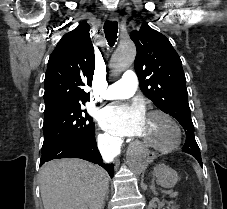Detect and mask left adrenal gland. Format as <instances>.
Instances as JSON below:
<instances>
[{
  "label": "left adrenal gland",
  "mask_w": 227,
  "mask_h": 209,
  "mask_svg": "<svg viewBox=\"0 0 227 209\" xmlns=\"http://www.w3.org/2000/svg\"><path fill=\"white\" fill-rule=\"evenodd\" d=\"M150 189H151L153 195H158V193L156 191V187H155V177H153V179H152V183L150 185Z\"/></svg>",
  "instance_id": "obj_1"
}]
</instances>
